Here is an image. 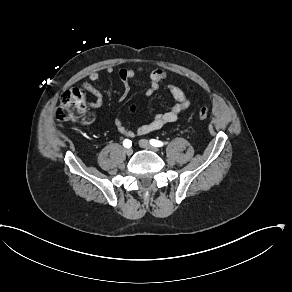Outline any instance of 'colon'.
<instances>
[{
	"instance_id": "obj_1",
	"label": "colon",
	"mask_w": 292,
	"mask_h": 292,
	"mask_svg": "<svg viewBox=\"0 0 292 292\" xmlns=\"http://www.w3.org/2000/svg\"><path fill=\"white\" fill-rule=\"evenodd\" d=\"M182 89L185 92L191 91L193 94H196L199 91V88L196 85L191 86L189 83H185L182 86ZM129 112L134 113L136 107L134 105L129 106ZM92 114L87 106L86 101V92L81 88H70L66 90L61 98V102L55 109V117L58 122L62 124L69 123L75 118L88 119ZM210 114V109L208 106H202L199 109L198 116L200 119H206Z\"/></svg>"
}]
</instances>
